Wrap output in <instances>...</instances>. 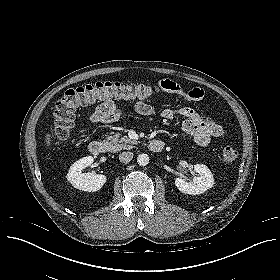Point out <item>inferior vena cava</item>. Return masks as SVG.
Returning <instances> with one entry per match:
<instances>
[{
  "label": "inferior vena cava",
  "mask_w": 280,
  "mask_h": 280,
  "mask_svg": "<svg viewBox=\"0 0 280 280\" xmlns=\"http://www.w3.org/2000/svg\"><path fill=\"white\" fill-rule=\"evenodd\" d=\"M133 159V153L132 152H122L119 155V160L122 163H129Z\"/></svg>",
  "instance_id": "602c4592"
}]
</instances>
